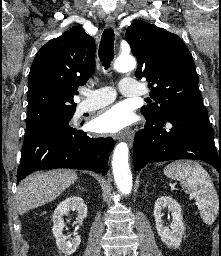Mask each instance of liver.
Instances as JSON below:
<instances>
[{
	"instance_id": "liver-1",
	"label": "liver",
	"mask_w": 221,
	"mask_h": 256,
	"mask_svg": "<svg viewBox=\"0 0 221 256\" xmlns=\"http://www.w3.org/2000/svg\"><path fill=\"white\" fill-rule=\"evenodd\" d=\"M76 180V171L70 169H55L29 175L18 186L17 212L23 215L53 201Z\"/></svg>"
}]
</instances>
